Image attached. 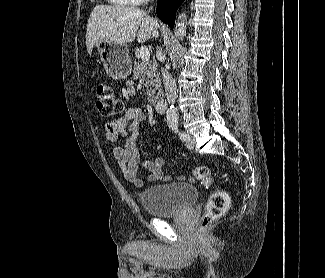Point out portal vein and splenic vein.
I'll return each mask as SVG.
<instances>
[{
	"label": "portal vein and splenic vein",
	"instance_id": "obj_1",
	"mask_svg": "<svg viewBox=\"0 0 325 278\" xmlns=\"http://www.w3.org/2000/svg\"><path fill=\"white\" fill-rule=\"evenodd\" d=\"M140 56L142 61L148 62L150 59V52L146 46H141L140 47Z\"/></svg>",
	"mask_w": 325,
	"mask_h": 278
}]
</instances>
